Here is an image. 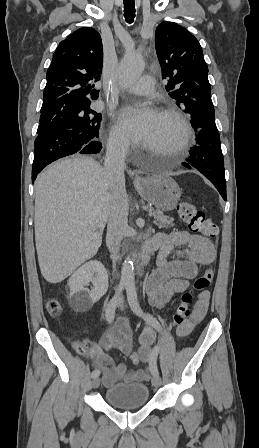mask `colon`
Masks as SVG:
<instances>
[{
	"label": "colon",
	"instance_id": "5ec220e1",
	"mask_svg": "<svg viewBox=\"0 0 259 448\" xmlns=\"http://www.w3.org/2000/svg\"><path fill=\"white\" fill-rule=\"evenodd\" d=\"M177 211L180 218L187 224L192 232L206 237H216L218 235L219 230L217 225L192 203H179ZM213 278L214 269L209 265L205 272L195 280L193 289L185 291L181 295L179 304L173 314V325L175 327L183 326L189 321L192 313L191 305L194 299V292H202L206 290L210 286ZM46 309L52 317H59L63 312L61 303L55 298L48 299L46 302ZM73 347L78 353H85V348L82 343L74 341ZM130 359L133 364H138L141 361L139 353H132Z\"/></svg>",
	"mask_w": 259,
	"mask_h": 448
}]
</instances>
